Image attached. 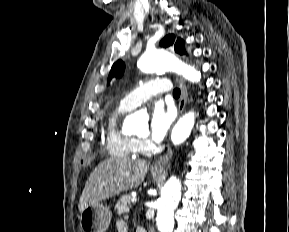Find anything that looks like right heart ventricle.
Here are the masks:
<instances>
[{"instance_id": "1", "label": "right heart ventricle", "mask_w": 289, "mask_h": 232, "mask_svg": "<svg viewBox=\"0 0 289 232\" xmlns=\"http://www.w3.org/2000/svg\"><path fill=\"white\" fill-rule=\"evenodd\" d=\"M128 111L130 110L120 103L108 115L106 147L110 155L115 157L134 158L140 151L139 140L123 132L119 126L120 119Z\"/></svg>"}]
</instances>
